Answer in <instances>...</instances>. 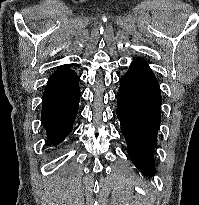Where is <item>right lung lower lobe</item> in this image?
I'll return each instance as SVG.
<instances>
[{
  "label": "right lung lower lobe",
  "instance_id": "right-lung-lower-lobe-1",
  "mask_svg": "<svg viewBox=\"0 0 199 205\" xmlns=\"http://www.w3.org/2000/svg\"><path fill=\"white\" fill-rule=\"evenodd\" d=\"M55 72L50 76L42 96L41 120L48 142L56 146L72 130L79 107L80 88L79 77L74 71Z\"/></svg>",
  "mask_w": 199,
  "mask_h": 205
}]
</instances>
